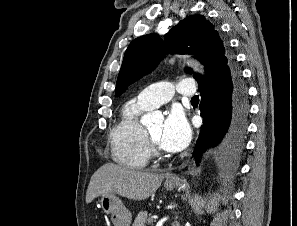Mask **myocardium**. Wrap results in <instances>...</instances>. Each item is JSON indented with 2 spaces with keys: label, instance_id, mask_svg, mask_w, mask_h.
<instances>
[{
  "label": "myocardium",
  "instance_id": "myocardium-1",
  "mask_svg": "<svg viewBox=\"0 0 297 226\" xmlns=\"http://www.w3.org/2000/svg\"><path fill=\"white\" fill-rule=\"evenodd\" d=\"M144 133H145V138H146V141L148 143L149 149H151V151L153 152L155 158L158 159V160L164 159V155L159 150V148L157 146V142L151 137V135L148 132V130L145 129L144 130Z\"/></svg>",
  "mask_w": 297,
  "mask_h": 226
}]
</instances>
